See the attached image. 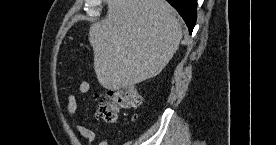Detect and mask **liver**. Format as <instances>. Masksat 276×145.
<instances>
[{
	"label": "liver",
	"mask_w": 276,
	"mask_h": 145,
	"mask_svg": "<svg viewBox=\"0 0 276 145\" xmlns=\"http://www.w3.org/2000/svg\"><path fill=\"white\" fill-rule=\"evenodd\" d=\"M107 5L106 17L89 29L100 85L118 90L158 75L182 40L176 10L165 0H109Z\"/></svg>",
	"instance_id": "1"
}]
</instances>
